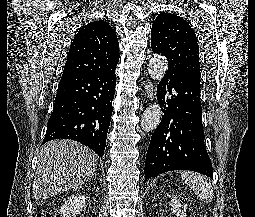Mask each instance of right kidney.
<instances>
[{"label":"right kidney","mask_w":255,"mask_h":217,"mask_svg":"<svg viewBox=\"0 0 255 217\" xmlns=\"http://www.w3.org/2000/svg\"><path fill=\"white\" fill-rule=\"evenodd\" d=\"M86 204V198L82 195H72L61 206V217H75L82 211Z\"/></svg>","instance_id":"1"}]
</instances>
